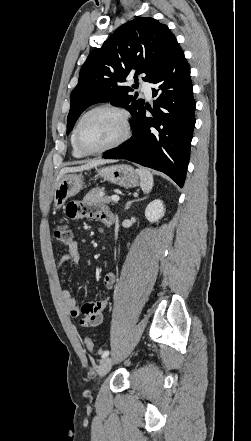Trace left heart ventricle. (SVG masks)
<instances>
[{"label":"left heart ventricle","mask_w":251,"mask_h":441,"mask_svg":"<svg viewBox=\"0 0 251 441\" xmlns=\"http://www.w3.org/2000/svg\"><path fill=\"white\" fill-rule=\"evenodd\" d=\"M122 130L118 114L109 110L96 111L84 120L80 130V141L88 150L100 149L115 141Z\"/></svg>","instance_id":"1"}]
</instances>
